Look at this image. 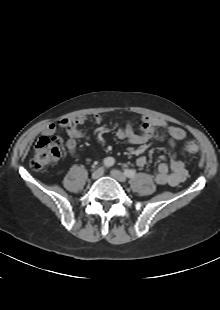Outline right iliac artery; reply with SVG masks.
<instances>
[{
  "instance_id": "right-iliac-artery-1",
  "label": "right iliac artery",
  "mask_w": 220,
  "mask_h": 310,
  "mask_svg": "<svg viewBox=\"0 0 220 310\" xmlns=\"http://www.w3.org/2000/svg\"><path fill=\"white\" fill-rule=\"evenodd\" d=\"M103 163H104V166L111 167L115 163V160L112 157H107L104 159Z\"/></svg>"
}]
</instances>
